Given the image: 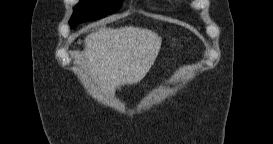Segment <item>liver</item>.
I'll return each mask as SVG.
<instances>
[{
  "label": "liver",
  "instance_id": "1",
  "mask_svg": "<svg viewBox=\"0 0 273 144\" xmlns=\"http://www.w3.org/2000/svg\"><path fill=\"white\" fill-rule=\"evenodd\" d=\"M162 38L138 27H101L85 38L84 69L102 90L140 82L160 51Z\"/></svg>",
  "mask_w": 273,
  "mask_h": 144
}]
</instances>
